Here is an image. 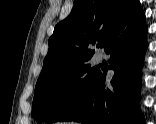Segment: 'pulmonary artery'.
<instances>
[{"mask_svg":"<svg viewBox=\"0 0 156 124\" xmlns=\"http://www.w3.org/2000/svg\"><path fill=\"white\" fill-rule=\"evenodd\" d=\"M99 60H100V57L97 58V61H99Z\"/></svg>","mask_w":156,"mask_h":124,"instance_id":"pulmonary-artery-1","label":"pulmonary artery"}]
</instances>
